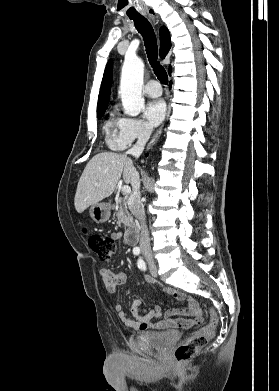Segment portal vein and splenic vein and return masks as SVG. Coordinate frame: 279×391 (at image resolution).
Returning a JSON list of instances; mask_svg holds the SVG:
<instances>
[{
	"label": "portal vein and splenic vein",
	"mask_w": 279,
	"mask_h": 391,
	"mask_svg": "<svg viewBox=\"0 0 279 391\" xmlns=\"http://www.w3.org/2000/svg\"><path fill=\"white\" fill-rule=\"evenodd\" d=\"M131 192V188L129 187V186H123L122 187V194L123 195H127V194H129Z\"/></svg>",
	"instance_id": "1"
}]
</instances>
